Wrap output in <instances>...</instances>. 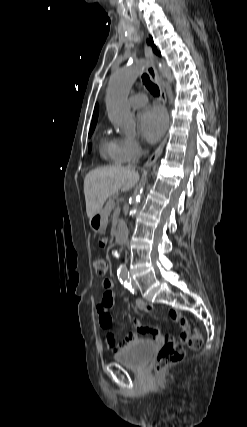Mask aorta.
Segmentation results:
<instances>
[{"label":"aorta","instance_id":"aorta-1","mask_svg":"<svg viewBox=\"0 0 247 427\" xmlns=\"http://www.w3.org/2000/svg\"><path fill=\"white\" fill-rule=\"evenodd\" d=\"M145 64L143 60H134L129 65L117 68L113 72L107 87L106 106L109 120L119 127L127 136H134L136 134V121L127 107V98L133 83L141 73ZM160 72L169 82L173 81L172 74L167 67L161 66ZM140 200L141 191L133 198L132 208L130 209L131 216L135 215ZM113 254L119 257L117 251H114ZM126 271V266L121 264L118 268V272L124 274Z\"/></svg>","mask_w":247,"mask_h":427}]
</instances>
